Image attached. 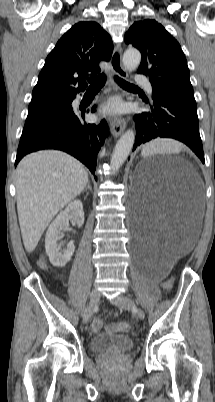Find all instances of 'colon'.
Segmentation results:
<instances>
[{
	"instance_id": "obj_1",
	"label": "colon",
	"mask_w": 215,
	"mask_h": 402,
	"mask_svg": "<svg viewBox=\"0 0 215 402\" xmlns=\"http://www.w3.org/2000/svg\"><path fill=\"white\" fill-rule=\"evenodd\" d=\"M171 285V281H167L164 283V288L168 290L171 288ZM162 296H169V291H162ZM91 328L93 332H100L103 329V321L101 319H95L92 322ZM112 329L120 332H128L130 330V325L128 323L121 322L112 326Z\"/></svg>"
}]
</instances>
